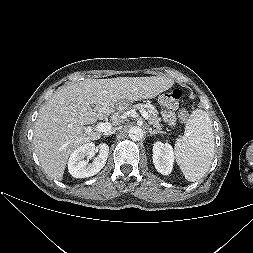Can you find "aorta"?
Returning a JSON list of instances; mask_svg holds the SVG:
<instances>
[{
  "mask_svg": "<svg viewBox=\"0 0 253 253\" xmlns=\"http://www.w3.org/2000/svg\"><path fill=\"white\" fill-rule=\"evenodd\" d=\"M128 136L130 137L131 140L133 141H139L143 138L144 136V131L142 128L138 126H133L129 129Z\"/></svg>",
  "mask_w": 253,
  "mask_h": 253,
  "instance_id": "1",
  "label": "aorta"
}]
</instances>
